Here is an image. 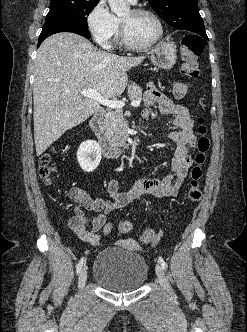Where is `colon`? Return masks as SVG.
<instances>
[{
    "label": "colon",
    "mask_w": 247,
    "mask_h": 332,
    "mask_svg": "<svg viewBox=\"0 0 247 332\" xmlns=\"http://www.w3.org/2000/svg\"><path fill=\"white\" fill-rule=\"evenodd\" d=\"M205 48V41L202 37L195 34H188L182 40V64L181 72L188 77H197L199 75L198 57L203 53ZM191 89V83L188 81H176L173 86V94L176 98H183ZM198 133L197 140V154L195 156V164L190 172V181L188 189V197L191 201L197 202L201 199V180L203 178V166L206 162L207 153L210 149V140L207 136V127L204 118H198ZM56 168L53 163L52 156L45 153L40 159V175L50 184L53 180ZM73 197V196H72ZM74 198V197H73ZM75 199V198H74ZM132 229V223L128 220L122 221L118 230L121 233H129ZM113 230V225L108 223L105 225L103 231L105 234H110ZM159 235L155 230L148 228L143 231L141 241L144 243L156 242Z\"/></svg>",
    "instance_id": "obj_1"
}]
</instances>
